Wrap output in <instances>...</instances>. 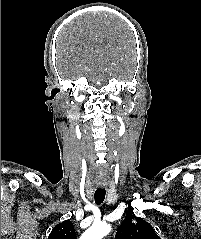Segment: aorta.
Here are the masks:
<instances>
[{"label":"aorta","instance_id":"aorta-1","mask_svg":"<svg viewBox=\"0 0 201 239\" xmlns=\"http://www.w3.org/2000/svg\"><path fill=\"white\" fill-rule=\"evenodd\" d=\"M111 226L106 223L94 224L88 230H86L80 239H102L109 234Z\"/></svg>","mask_w":201,"mask_h":239}]
</instances>
